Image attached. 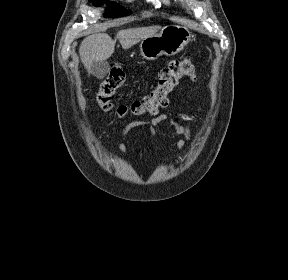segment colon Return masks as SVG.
I'll use <instances>...</instances> for the list:
<instances>
[{
    "instance_id": "colon-1",
    "label": "colon",
    "mask_w": 288,
    "mask_h": 280,
    "mask_svg": "<svg viewBox=\"0 0 288 280\" xmlns=\"http://www.w3.org/2000/svg\"><path fill=\"white\" fill-rule=\"evenodd\" d=\"M184 77L196 79V68L188 57L171 61L163 68L158 74L157 86L149 94L130 105L115 107L112 97L116 90L124 84L125 73L121 66L114 65L100 86L96 96L97 102L104 112L115 113L119 117H125L129 113L136 116L155 114L159 108L168 104L169 93Z\"/></svg>"
}]
</instances>
